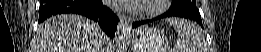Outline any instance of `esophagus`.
<instances>
[{
  "mask_svg": "<svg viewBox=\"0 0 261 52\" xmlns=\"http://www.w3.org/2000/svg\"><path fill=\"white\" fill-rule=\"evenodd\" d=\"M118 32L121 33V37H128L131 34V26L126 18H120L118 25Z\"/></svg>",
  "mask_w": 261,
  "mask_h": 52,
  "instance_id": "1",
  "label": "esophagus"
}]
</instances>
